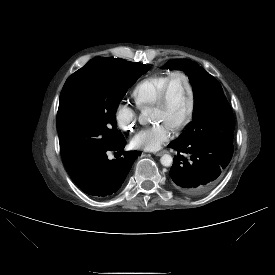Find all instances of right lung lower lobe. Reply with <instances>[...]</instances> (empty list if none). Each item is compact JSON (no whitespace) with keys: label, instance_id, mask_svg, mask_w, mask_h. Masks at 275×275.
Wrapping results in <instances>:
<instances>
[{"label":"right lung lower lobe","instance_id":"right-lung-lower-lobe-1","mask_svg":"<svg viewBox=\"0 0 275 275\" xmlns=\"http://www.w3.org/2000/svg\"><path fill=\"white\" fill-rule=\"evenodd\" d=\"M124 147L123 137L107 151H119ZM107 151L86 155L65 165L76 185L89 195L104 197L115 193L124 182L133 162L140 155L139 151H127L122 158L109 160Z\"/></svg>","mask_w":275,"mask_h":275}]
</instances>
